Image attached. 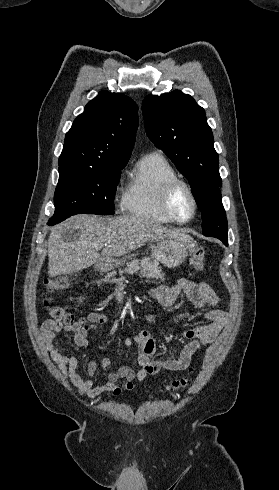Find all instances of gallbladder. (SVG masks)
Returning <instances> with one entry per match:
<instances>
[{
  "instance_id": "gallbladder-1",
  "label": "gallbladder",
  "mask_w": 279,
  "mask_h": 490,
  "mask_svg": "<svg viewBox=\"0 0 279 490\" xmlns=\"http://www.w3.org/2000/svg\"><path fill=\"white\" fill-rule=\"evenodd\" d=\"M77 272H71V274H68V276H62V278H58L59 282H70L69 276H76Z\"/></svg>"
}]
</instances>
